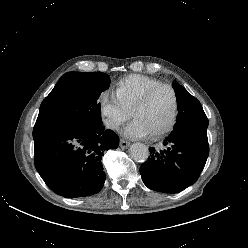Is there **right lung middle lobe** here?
<instances>
[{"mask_svg":"<svg viewBox=\"0 0 248 248\" xmlns=\"http://www.w3.org/2000/svg\"><path fill=\"white\" fill-rule=\"evenodd\" d=\"M109 85V76L102 72L64 74L41 103L36 124L101 125L97 99Z\"/></svg>","mask_w":248,"mask_h":248,"instance_id":"dd1d6c3e","label":"right lung middle lobe"}]
</instances>
